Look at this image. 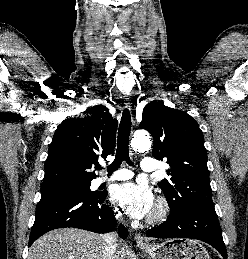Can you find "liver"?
I'll return each mask as SVG.
<instances>
[{
    "label": "liver",
    "instance_id": "1",
    "mask_svg": "<svg viewBox=\"0 0 248 259\" xmlns=\"http://www.w3.org/2000/svg\"><path fill=\"white\" fill-rule=\"evenodd\" d=\"M104 235L77 228L52 230L38 238L28 259H104ZM127 245L117 242L115 259H125Z\"/></svg>",
    "mask_w": 248,
    "mask_h": 259
}]
</instances>
